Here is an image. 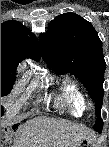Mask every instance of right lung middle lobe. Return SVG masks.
Returning a JSON list of instances; mask_svg holds the SVG:
<instances>
[{
	"instance_id": "dd1d6c3e",
	"label": "right lung middle lobe",
	"mask_w": 109,
	"mask_h": 147,
	"mask_svg": "<svg viewBox=\"0 0 109 147\" xmlns=\"http://www.w3.org/2000/svg\"><path fill=\"white\" fill-rule=\"evenodd\" d=\"M15 67H2L1 66V96L7 95L12 89L13 82L15 81ZM3 108L1 107V115Z\"/></svg>"
}]
</instances>
